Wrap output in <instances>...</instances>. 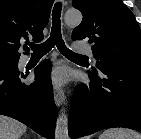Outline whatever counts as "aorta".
Segmentation results:
<instances>
[{"instance_id": "obj_1", "label": "aorta", "mask_w": 141, "mask_h": 139, "mask_svg": "<svg viewBox=\"0 0 141 139\" xmlns=\"http://www.w3.org/2000/svg\"><path fill=\"white\" fill-rule=\"evenodd\" d=\"M67 25H79L82 21V14L77 10H69L64 16ZM55 139H69L68 134V115L65 108L58 114L55 128Z\"/></svg>"}]
</instances>
